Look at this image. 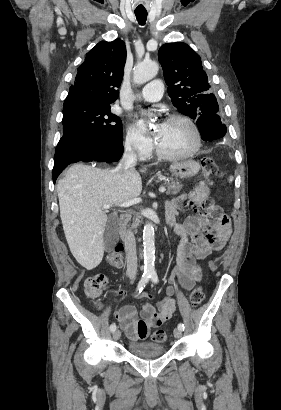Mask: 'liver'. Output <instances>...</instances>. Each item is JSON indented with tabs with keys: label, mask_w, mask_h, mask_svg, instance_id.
Wrapping results in <instances>:
<instances>
[{
	"label": "liver",
	"mask_w": 281,
	"mask_h": 410,
	"mask_svg": "<svg viewBox=\"0 0 281 410\" xmlns=\"http://www.w3.org/2000/svg\"><path fill=\"white\" fill-rule=\"evenodd\" d=\"M146 171V167L140 170ZM142 191L139 172L124 174L82 163L72 165L59 180L60 217L70 251L87 270L97 267L104 255L103 234L108 220L102 207L120 205Z\"/></svg>",
	"instance_id": "liver-1"
}]
</instances>
